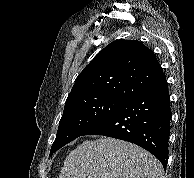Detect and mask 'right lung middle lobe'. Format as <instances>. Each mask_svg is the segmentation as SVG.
I'll return each instance as SVG.
<instances>
[{"label":"right lung middle lobe","instance_id":"right-lung-middle-lobe-1","mask_svg":"<svg viewBox=\"0 0 194 178\" xmlns=\"http://www.w3.org/2000/svg\"><path fill=\"white\" fill-rule=\"evenodd\" d=\"M125 101L108 97L77 99L65 104L50 155L81 136Z\"/></svg>","mask_w":194,"mask_h":178}]
</instances>
